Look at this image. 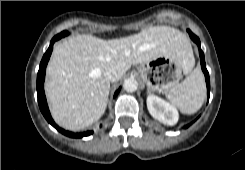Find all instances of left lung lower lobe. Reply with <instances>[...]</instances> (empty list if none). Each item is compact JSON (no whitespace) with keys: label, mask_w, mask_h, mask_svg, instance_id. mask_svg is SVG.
I'll use <instances>...</instances> for the list:
<instances>
[{"label":"left lung lower lobe","mask_w":245,"mask_h":170,"mask_svg":"<svg viewBox=\"0 0 245 170\" xmlns=\"http://www.w3.org/2000/svg\"><path fill=\"white\" fill-rule=\"evenodd\" d=\"M187 31H188V33L190 35V38L198 45V48H199L200 63H201V67H202V70H203L204 75H205L206 84H207V95H208V98H209V95H210V79H209V73H208V71L206 69V64H205V59H204V53L200 49V40L190 30H187ZM188 126L189 125H186L184 128H187Z\"/></svg>","instance_id":"1"}]
</instances>
